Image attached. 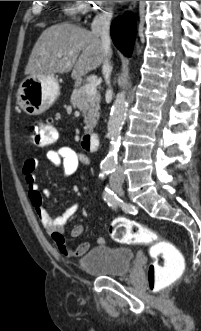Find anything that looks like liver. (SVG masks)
<instances>
[{"mask_svg":"<svg viewBox=\"0 0 201 331\" xmlns=\"http://www.w3.org/2000/svg\"><path fill=\"white\" fill-rule=\"evenodd\" d=\"M106 58L99 36L72 24H56L44 30L35 43L25 75H53L73 69L71 77L79 79Z\"/></svg>","mask_w":201,"mask_h":331,"instance_id":"1","label":"liver"}]
</instances>
